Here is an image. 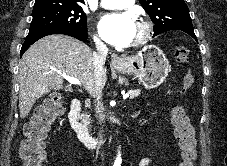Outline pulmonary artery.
Masks as SVG:
<instances>
[{
    "instance_id": "1",
    "label": "pulmonary artery",
    "mask_w": 227,
    "mask_h": 166,
    "mask_svg": "<svg viewBox=\"0 0 227 166\" xmlns=\"http://www.w3.org/2000/svg\"><path fill=\"white\" fill-rule=\"evenodd\" d=\"M135 0H101L100 5L106 9H123L133 5Z\"/></svg>"
}]
</instances>
